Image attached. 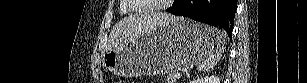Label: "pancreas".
Segmentation results:
<instances>
[{
  "label": "pancreas",
  "instance_id": "cf45deb5",
  "mask_svg": "<svg viewBox=\"0 0 307 83\" xmlns=\"http://www.w3.org/2000/svg\"><path fill=\"white\" fill-rule=\"evenodd\" d=\"M167 83H176L175 74L170 73L166 78Z\"/></svg>",
  "mask_w": 307,
  "mask_h": 83
}]
</instances>
